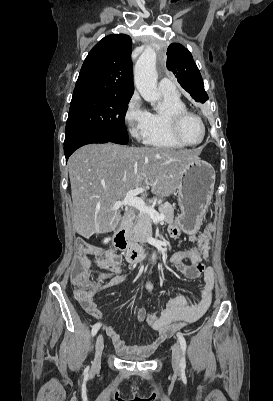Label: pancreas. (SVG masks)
<instances>
[{"label":"pancreas","instance_id":"pancreas-1","mask_svg":"<svg viewBox=\"0 0 273 401\" xmlns=\"http://www.w3.org/2000/svg\"><path fill=\"white\" fill-rule=\"evenodd\" d=\"M161 215H164V223H173L174 209L169 203L159 205ZM134 241H143L148 235H152V219L146 213H139L135 225L131 231Z\"/></svg>","mask_w":273,"mask_h":401}]
</instances>
